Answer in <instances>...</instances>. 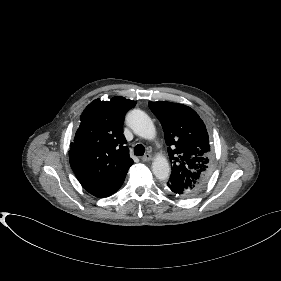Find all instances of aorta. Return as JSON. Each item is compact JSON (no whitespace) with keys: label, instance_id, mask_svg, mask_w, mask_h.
I'll use <instances>...</instances> for the list:
<instances>
[{"label":"aorta","instance_id":"1","mask_svg":"<svg viewBox=\"0 0 281 281\" xmlns=\"http://www.w3.org/2000/svg\"><path fill=\"white\" fill-rule=\"evenodd\" d=\"M127 125L133 132L145 139H153L156 135L155 126L151 118L142 110H131L126 117ZM152 171L156 178L165 180L170 175V166L164 156H158L152 163Z\"/></svg>","mask_w":281,"mask_h":281}]
</instances>
